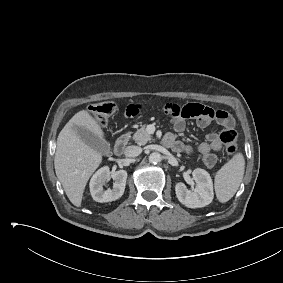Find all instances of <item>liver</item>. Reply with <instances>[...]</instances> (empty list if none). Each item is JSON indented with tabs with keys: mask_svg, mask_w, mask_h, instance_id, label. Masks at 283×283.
Wrapping results in <instances>:
<instances>
[{
	"mask_svg": "<svg viewBox=\"0 0 283 283\" xmlns=\"http://www.w3.org/2000/svg\"><path fill=\"white\" fill-rule=\"evenodd\" d=\"M74 126L85 128L105 139L100 125L87 110L77 112L58 135L55 172L71 203L80 207L85 186L101 164L102 154L85 144Z\"/></svg>",
	"mask_w": 283,
	"mask_h": 283,
	"instance_id": "liver-1",
	"label": "liver"
}]
</instances>
